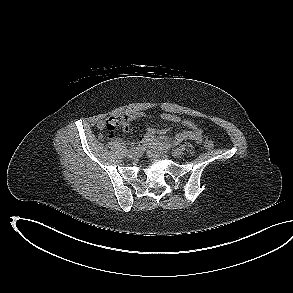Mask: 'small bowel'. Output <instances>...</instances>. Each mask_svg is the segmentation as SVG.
Wrapping results in <instances>:
<instances>
[{"mask_svg": "<svg viewBox=\"0 0 293 293\" xmlns=\"http://www.w3.org/2000/svg\"><path fill=\"white\" fill-rule=\"evenodd\" d=\"M143 113L136 115L123 116V117H112L107 120H101L97 123V128L103 131L109 121L116 122L117 125H121L124 131H128L130 122L143 118ZM161 119L171 123H181L186 130L177 133L173 138L166 135V130H157L152 127H147L145 133L140 137L139 141L143 145L152 147H161L165 144L177 145L184 141H195L197 143L202 142V130L191 120H181L180 117L170 113H163Z\"/></svg>", "mask_w": 293, "mask_h": 293, "instance_id": "1", "label": "small bowel"}]
</instances>
